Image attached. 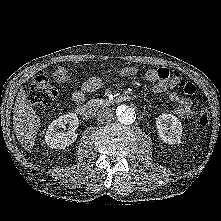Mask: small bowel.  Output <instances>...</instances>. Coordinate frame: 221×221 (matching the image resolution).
<instances>
[{"mask_svg": "<svg viewBox=\"0 0 221 221\" xmlns=\"http://www.w3.org/2000/svg\"><path fill=\"white\" fill-rule=\"evenodd\" d=\"M137 67H125L121 71L122 76L136 75L138 73ZM145 78L154 83L153 91L155 93H164L177 86H180L183 81L178 76H172L168 68L150 69L146 72ZM104 77L101 75H94L86 79L81 90H77L72 94V100L75 103H81L85 99L86 92H93L100 89L104 85ZM169 99L177 104L174 109V114L181 118H191L193 115L192 101L177 92H170Z\"/></svg>", "mask_w": 221, "mask_h": 221, "instance_id": "1", "label": "small bowel"}]
</instances>
